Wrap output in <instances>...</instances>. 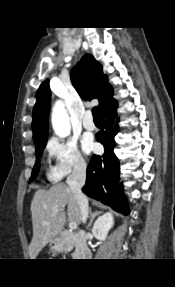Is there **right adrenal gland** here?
<instances>
[{"mask_svg": "<svg viewBox=\"0 0 175 287\" xmlns=\"http://www.w3.org/2000/svg\"><path fill=\"white\" fill-rule=\"evenodd\" d=\"M99 214H101L100 211H95V212L90 211V217H91V218H90V222H89V224H88V226H87V229H89V228L91 227L94 218H95L96 216H98Z\"/></svg>", "mask_w": 175, "mask_h": 287, "instance_id": "right-adrenal-gland-1", "label": "right adrenal gland"}]
</instances>
